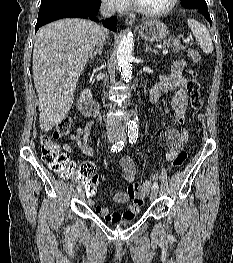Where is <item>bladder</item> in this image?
Listing matches in <instances>:
<instances>
[{
    "instance_id": "1",
    "label": "bladder",
    "mask_w": 233,
    "mask_h": 263,
    "mask_svg": "<svg viewBox=\"0 0 233 263\" xmlns=\"http://www.w3.org/2000/svg\"><path fill=\"white\" fill-rule=\"evenodd\" d=\"M130 222H131V218L119 221L117 224L120 225V226H125V225H128Z\"/></svg>"
}]
</instances>
